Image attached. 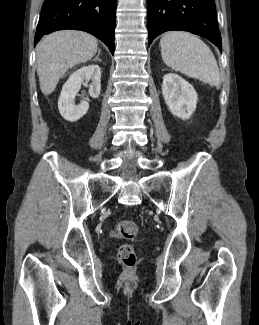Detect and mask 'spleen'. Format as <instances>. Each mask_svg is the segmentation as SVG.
I'll list each match as a JSON object with an SVG mask.
<instances>
[{
	"instance_id": "obj_1",
	"label": "spleen",
	"mask_w": 259,
	"mask_h": 325,
	"mask_svg": "<svg viewBox=\"0 0 259 325\" xmlns=\"http://www.w3.org/2000/svg\"><path fill=\"white\" fill-rule=\"evenodd\" d=\"M164 63L175 71L211 86L220 84L217 61L211 49L197 36L183 31H171L160 40Z\"/></svg>"
}]
</instances>
